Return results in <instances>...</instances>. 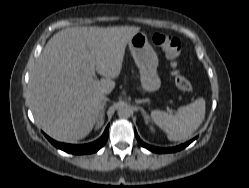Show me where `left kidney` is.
I'll return each mask as SVG.
<instances>
[{"mask_svg": "<svg viewBox=\"0 0 249 188\" xmlns=\"http://www.w3.org/2000/svg\"><path fill=\"white\" fill-rule=\"evenodd\" d=\"M150 129H151L152 132H155V129L153 127H150Z\"/></svg>", "mask_w": 249, "mask_h": 188, "instance_id": "obj_1", "label": "left kidney"}]
</instances>
